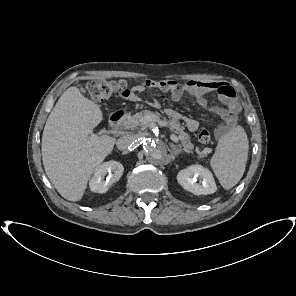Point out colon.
<instances>
[{
  "instance_id": "5ec220e1",
  "label": "colon",
  "mask_w": 296,
  "mask_h": 296,
  "mask_svg": "<svg viewBox=\"0 0 296 296\" xmlns=\"http://www.w3.org/2000/svg\"><path fill=\"white\" fill-rule=\"evenodd\" d=\"M83 93L93 101H103L111 96H125L128 92L124 80H98L90 81L83 86ZM198 140L201 144H208L211 141V134L203 129L198 134Z\"/></svg>"
}]
</instances>
